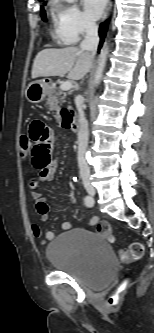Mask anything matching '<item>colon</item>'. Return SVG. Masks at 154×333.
Returning <instances> with one entry per match:
<instances>
[{
    "instance_id": "1",
    "label": "colon",
    "mask_w": 154,
    "mask_h": 333,
    "mask_svg": "<svg viewBox=\"0 0 154 333\" xmlns=\"http://www.w3.org/2000/svg\"><path fill=\"white\" fill-rule=\"evenodd\" d=\"M64 120L67 121L70 117L68 111L63 113ZM21 147V156L23 159L28 158L31 155V141L27 135L22 136L20 141ZM96 231L103 235L104 238L110 243L114 242V236L112 233L111 226L108 222L102 221L97 224ZM144 248L141 243L133 242L131 243L126 250L120 251V258L123 261H134L142 257ZM117 301L116 297H111L109 299L110 304H115Z\"/></svg>"
}]
</instances>
